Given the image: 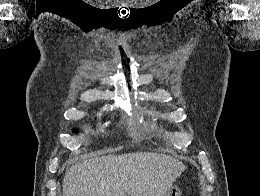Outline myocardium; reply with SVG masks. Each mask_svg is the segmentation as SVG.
I'll return each mask as SVG.
<instances>
[{"mask_svg": "<svg viewBox=\"0 0 260 196\" xmlns=\"http://www.w3.org/2000/svg\"><path fill=\"white\" fill-rule=\"evenodd\" d=\"M88 192H91L88 190ZM93 192H116V190H94Z\"/></svg>", "mask_w": 260, "mask_h": 196, "instance_id": "obj_1", "label": "myocardium"}]
</instances>
